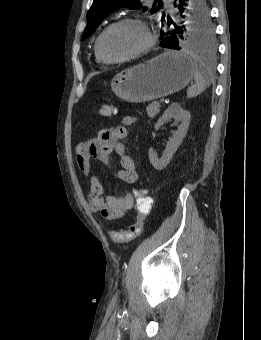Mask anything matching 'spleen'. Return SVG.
<instances>
[{
  "mask_svg": "<svg viewBox=\"0 0 261 340\" xmlns=\"http://www.w3.org/2000/svg\"><path fill=\"white\" fill-rule=\"evenodd\" d=\"M194 79L195 84L187 90V96L189 98L196 97L202 93L213 80L210 71L197 61L194 62Z\"/></svg>",
  "mask_w": 261,
  "mask_h": 340,
  "instance_id": "spleen-1",
  "label": "spleen"
}]
</instances>
